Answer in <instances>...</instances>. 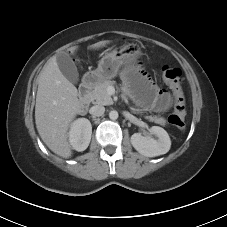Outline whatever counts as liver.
Instances as JSON below:
<instances>
[{
  "label": "liver",
  "instance_id": "6515ba94",
  "mask_svg": "<svg viewBox=\"0 0 227 227\" xmlns=\"http://www.w3.org/2000/svg\"><path fill=\"white\" fill-rule=\"evenodd\" d=\"M109 43L101 41L90 46L100 48ZM76 46L68 49L71 53ZM53 56L39 75L35 105V123L42 141L55 154L69 158L72 149L68 142V129L81 108L77 88L62 74Z\"/></svg>",
  "mask_w": 227,
  "mask_h": 227
}]
</instances>
